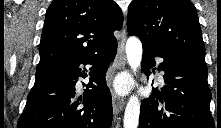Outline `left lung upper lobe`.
<instances>
[{
	"label": "left lung upper lobe",
	"instance_id": "1",
	"mask_svg": "<svg viewBox=\"0 0 221 128\" xmlns=\"http://www.w3.org/2000/svg\"><path fill=\"white\" fill-rule=\"evenodd\" d=\"M127 30L143 45L206 66L198 15L190 0H135L128 8Z\"/></svg>",
	"mask_w": 221,
	"mask_h": 128
}]
</instances>
